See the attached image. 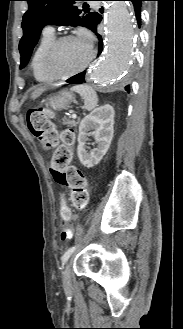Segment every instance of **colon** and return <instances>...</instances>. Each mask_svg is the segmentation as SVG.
I'll return each mask as SVG.
<instances>
[{"label": "colon", "instance_id": "5ec220e1", "mask_svg": "<svg viewBox=\"0 0 183 329\" xmlns=\"http://www.w3.org/2000/svg\"><path fill=\"white\" fill-rule=\"evenodd\" d=\"M51 118L52 112L48 108L31 109L26 118L27 126L44 150L55 149L50 165L51 175L57 185L69 189L71 205L82 209L88 200V188L83 172L72 165L74 132L66 129L58 133ZM71 236V230L63 225L59 231L60 240H69Z\"/></svg>", "mask_w": 183, "mask_h": 329}]
</instances>
